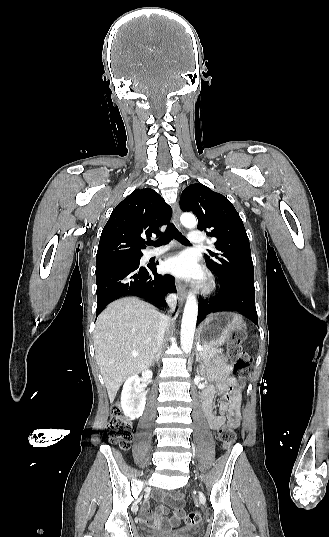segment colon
I'll list each match as a JSON object with an SVG mask.
<instances>
[{"mask_svg":"<svg viewBox=\"0 0 329 537\" xmlns=\"http://www.w3.org/2000/svg\"><path fill=\"white\" fill-rule=\"evenodd\" d=\"M228 354L234 360V373L241 379L248 376L251 366V356L241 349L239 340L233 342L228 348ZM236 423L228 422L218 431V437L225 448H230L236 440ZM108 436L112 443L119 445L123 450L129 448L132 439V423L122 414L119 403L112 407V416L108 427ZM187 526H196L201 522V514L197 511L190 512L186 517Z\"/></svg>","mask_w":329,"mask_h":537,"instance_id":"1","label":"colon"}]
</instances>
